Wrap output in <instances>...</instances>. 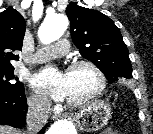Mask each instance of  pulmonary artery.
Instances as JSON below:
<instances>
[{"label":"pulmonary artery","instance_id":"1","mask_svg":"<svg viewBox=\"0 0 153 134\" xmlns=\"http://www.w3.org/2000/svg\"><path fill=\"white\" fill-rule=\"evenodd\" d=\"M69 50V42L66 39L58 40L54 45L39 49L34 57L35 62H45L53 58L65 55Z\"/></svg>","mask_w":153,"mask_h":134}]
</instances>
